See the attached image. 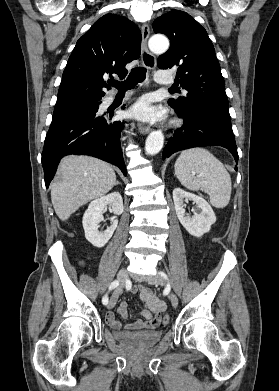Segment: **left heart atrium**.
I'll list each match as a JSON object with an SVG mask.
<instances>
[{"label":"left heart atrium","mask_w":279,"mask_h":391,"mask_svg":"<svg viewBox=\"0 0 279 391\" xmlns=\"http://www.w3.org/2000/svg\"><path fill=\"white\" fill-rule=\"evenodd\" d=\"M130 114L145 122H155L164 118L165 112L161 107L154 106L150 97L140 98L131 108Z\"/></svg>","instance_id":"obj_1"}]
</instances>
